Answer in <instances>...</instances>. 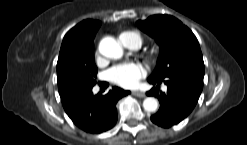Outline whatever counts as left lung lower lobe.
Instances as JSON below:
<instances>
[{"instance_id":"left-lung-lower-lobe-1","label":"left lung lower lobe","mask_w":247,"mask_h":145,"mask_svg":"<svg viewBox=\"0 0 247 145\" xmlns=\"http://www.w3.org/2000/svg\"><path fill=\"white\" fill-rule=\"evenodd\" d=\"M151 84L164 82L167 92L153 87L146 94L159 99V111L151 116L153 123L168 128L186 118L195 107L203 88V79L186 74H174L163 80H149Z\"/></svg>"}]
</instances>
